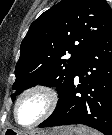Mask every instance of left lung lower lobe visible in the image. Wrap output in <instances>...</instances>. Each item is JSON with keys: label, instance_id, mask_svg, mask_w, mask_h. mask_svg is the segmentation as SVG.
I'll return each mask as SVG.
<instances>
[{"label": "left lung lower lobe", "instance_id": "0a47b994", "mask_svg": "<svg viewBox=\"0 0 112 135\" xmlns=\"http://www.w3.org/2000/svg\"><path fill=\"white\" fill-rule=\"evenodd\" d=\"M70 124L112 135V24L84 55L56 109L39 127Z\"/></svg>", "mask_w": 112, "mask_h": 135}]
</instances>
